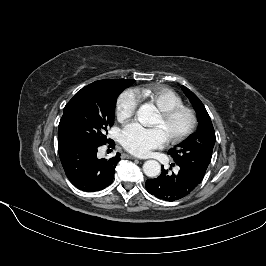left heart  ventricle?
Here are the masks:
<instances>
[{
    "label": "left heart ventricle",
    "mask_w": 266,
    "mask_h": 266,
    "mask_svg": "<svg viewBox=\"0 0 266 266\" xmlns=\"http://www.w3.org/2000/svg\"><path fill=\"white\" fill-rule=\"evenodd\" d=\"M188 123V116L182 113L170 120H165L160 115H157L152 124L160 127L169 138L181 134L188 126Z\"/></svg>",
    "instance_id": "1"
}]
</instances>
